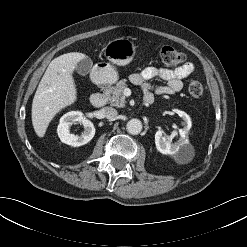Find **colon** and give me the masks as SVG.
<instances>
[{
  "instance_id": "5ec220e1",
  "label": "colon",
  "mask_w": 247,
  "mask_h": 247,
  "mask_svg": "<svg viewBox=\"0 0 247 247\" xmlns=\"http://www.w3.org/2000/svg\"><path fill=\"white\" fill-rule=\"evenodd\" d=\"M157 55L164 66H176L184 62L185 55L172 46H161L157 49ZM191 97L198 99L203 95V86L199 81H191L188 86Z\"/></svg>"
}]
</instances>
